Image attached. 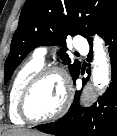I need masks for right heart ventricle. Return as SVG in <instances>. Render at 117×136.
<instances>
[{
	"label": "right heart ventricle",
	"instance_id": "1",
	"mask_svg": "<svg viewBox=\"0 0 117 136\" xmlns=\"http://www.w3.org/2000/svg\"><path fill=\"white\" fill-rule=\"evenodd\" d=\"M42 66L43 62L33 57L20 67L13 78L9 89L8 111L11 121L15 124L21 125L25 123L17 112L19 98L27 82Z\"/></svg>",
	"mask_w": 117,
	"mask_h": 136
}]
</instances>
